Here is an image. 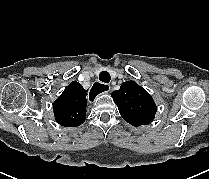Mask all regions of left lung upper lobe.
<instances>
[{
	"label": "left lung upper lobe",
	"mask_w": 209,
	"mask_h": 179,
	"mask_svg": "<svg viewBox=\"0 0 209 179\" xmlns=\"http://www.w3.org/2000/svg\"><path fill=\"white\" fill-rule=\"evenodd\" d=\"M122 118L133 126L147 125L154 119L156 104L150 94L134 81L122 83L112 92Z\"/></svg>",
	"instance_id": "5c2ea615"
}]
</instances>
